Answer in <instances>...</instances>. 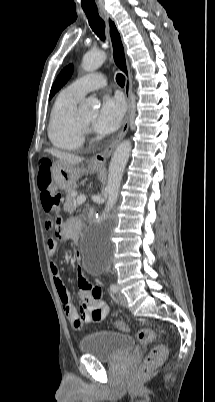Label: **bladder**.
Instances as JSON below:
<instances>
[{
	"label": "bladder",
	"instance_id": "1",
	"mask_svg": "<svg viewBox=\"0 0 215 402\" xmlns=\"http://www.w3.org/2000/svg\"><path fill=\"white\" fill-rule=\"evenodd\" d=\"M82 353L102 362H113L131 352L135 347L132 336L112 331H96L80 340Z\"/></svg>",
	"mask_w": 215,
	"mask_h": 402
}]
</instances>
